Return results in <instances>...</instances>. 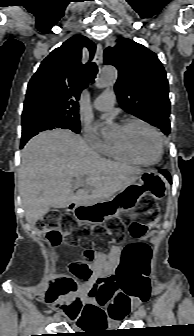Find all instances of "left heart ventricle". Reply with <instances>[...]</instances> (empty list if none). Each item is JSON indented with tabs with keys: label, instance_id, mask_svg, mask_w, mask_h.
I'll return each mask as SVG.
<instances>
[{
	"label": "left heart ventricle",
	"instance_id": "left-heart-ventricle-1",
	"mask_svg": "<svg viewBox=\"0 0 194 336\" xmlns=\"http://www.w3.org/2000/svg\"><path fill=\"white\" fill-rule=\"evenodd\" d=\"M123 141L142 160L153 161L158 156L159 144L155 134L143 125L119 129L115 142Z\"/></svg>",
	"mask_w": 194,
	"mask_h": 336
}]
</instances>
